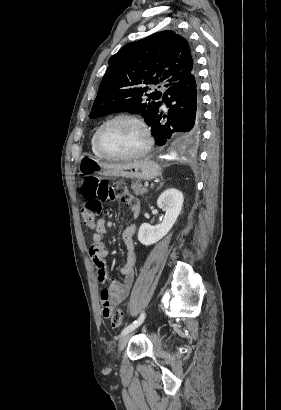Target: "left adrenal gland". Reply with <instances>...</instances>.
I'll return each mask as SVG.
<instances>
[{"mask_svg": "<svg viewBox=\"0 0 281 410\" xmlns=\"http://www.w3.org/2000/svg\"><path fill=\"white\" fill-rule=\"evenodd\" d=\"M163 184H164V182H161L160 186L157 189L161 188L163 186Z\"/></svg>", "mask_w": 281, "mask_h": 410, "instance_id": "a2214340", "label": "left adrenal gland"}]
</instances>
